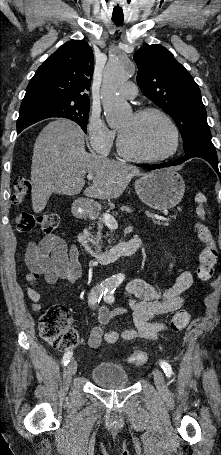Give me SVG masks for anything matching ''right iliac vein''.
I'll return each instance as SVG.
<instances>
[{
	"label": "right iliac vein",
	"mask_w": 221,
	"mask_h": 455,
	"mask_svg": "<svg viewBox=\"0 0 221 455\" xmlns=\"http://www.w3.org/2000/svg\"><path fill=\"white\" fill-rule=\"evenodd\" d=\"M68 372L72 375H74L77 371V362L75 359H71L68 366H67Z\"/></svg>",
	"instance_id": "1"
}]
</instances>
